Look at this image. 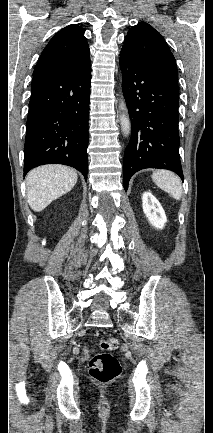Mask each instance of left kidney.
Here are the masks:
<instances>
[{
  "label": "left kidney",
  "mask_w": 213,
  "mask_h": 433,
  "mask_svg": "<svg viewBox=\"0 0 213 433\" xmlns=\"http://www.w3.org/2000/svg\"><path fill=\"white\" fill-rule=\"evenodd\" d=\"M142 208L150 224L156 229H163L167 222L166 214L159 201L150 192L142 196Z\"/></svg>",
  "instance_id": "5707ae66"
}]
</instances>
